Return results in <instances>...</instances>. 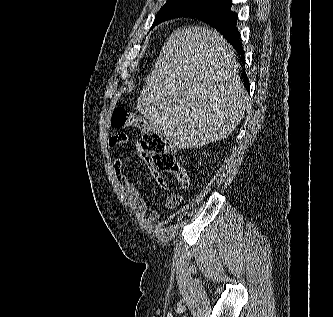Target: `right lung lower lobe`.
<instances>
[{
  "mask_svg": "<svg viewBox=\"0 0 333 317\" xmlns=\"http://www.w3.org/2000/svg\"><path fill=\"white\" fill-rule=\"evenodd\" d=\"M230 8L231 3L218 10L193 16L192 18L199 19L209 24L211 27L216 28L242 56L241 61L244 63V51L242 43L240 42V33L236 27L238 15L232 12ZM243 82L244 86L249 91L250 83L246 75L243 76Z\"/></svg>",
  "mask_w": 333,
  "mask_h": 317,
  "instance_id": "98d812e1",
  "label": "right lung lower lobe"
}]
</instances>
